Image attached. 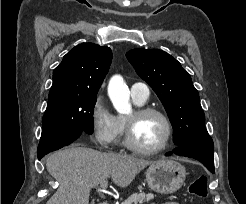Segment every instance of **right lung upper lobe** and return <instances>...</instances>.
Listing matches in <instances>:
<instances>
[{
	"mask_svg": "<svg viewBox=\"0 0 246 204\" xmlns=\"http://www.w3.org/2000/svg\"><path fill=\"white\" fill-rule=\"evenodd\" d=\"M109 47L83 43L68 52L53 72L48 101L81 95H97L109 70Z\"/></svg>",
	"mask_w": 246,
	"mask_h": 204,
	"instance_id": "right-lung-upper-lobe-1",
	"label": "right lung upper lobe"
}]
</instances>
